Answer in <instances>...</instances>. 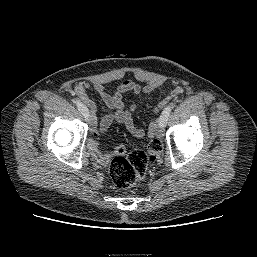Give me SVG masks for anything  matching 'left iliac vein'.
Listing matches in <instances>:
<instances>
[{
  "instance_id": "4c4485c4",
  "label": "left iliac vein",
  "mask_w": 257,
  "mask_h": 257,
  "mask_svg": "<svg viewBox=\"0 0 257 257\" xmlns=\"http://www.w3.org/2000/svg\"><path fill=\"white\" fill-rule=\"evenodd\" d=\"M165 123H162L160 120H159V124H158V128H157V135L159 137H162L164 135V127H165Z\"/></svg>"
}]
</instances>
